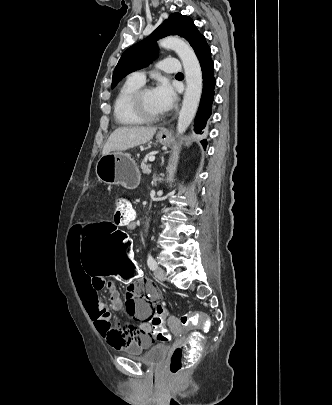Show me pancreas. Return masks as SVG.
I'll use <instances>...</instances> for the list:
<instances>
[{"label": "pancreas", "mask_w": 332, "mask_h": 405, "mask_svg": "<svg viewBox=\"0 0 332 405\" xmlns=\"http://www.w3.org/2000/svg\"><path fill=\"white\" fill-rule=\"evenodd\" d=\"M150 165H146L145 163H141L142 174L146 175L150 173Z\"/></svg>", "instance_id": "1"}]
</instances>
